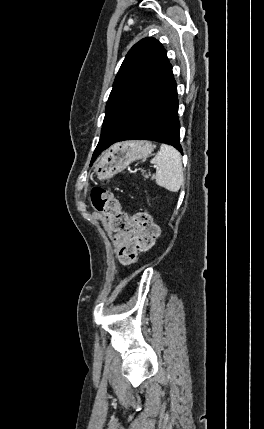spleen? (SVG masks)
<instances>
[{
    "instance_id": "1",
    "label": "spleen",
    "mask_w": 264,
    "mask_h": 429,
    "mask_svg": "<svg viewBox=\"0 0 264 429\" xmlns=\"http://www.w3.org/2000/svg\"><path fill=\"white\" fill-rule=\"evenodd\" d=\"M151 163L156 166V183L171 192H178L184 182L180 153L174 147L162 144Z\"/></svg>"
}]
</instances>
